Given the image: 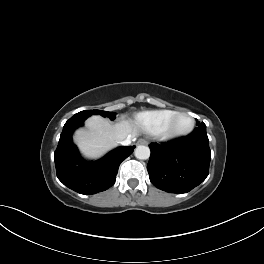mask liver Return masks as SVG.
Masks as SVG:
<instances>
[{"mask_svg": "<svg viewBox=\"0 0 264 264\" xmlns=\"http://www.w3.org/2000/svg\"><path fill=\"white\" fill-rule=\"evenodd\" d=\"M137 129L126 120L114 125L105 118L95 115L86 120V129H78L74 141L81 153L88 158H98L122 140L137 135Z\"/></svg>", "mask_w": 264, "mask_h": 264, "instance_id": "liver-1", "label": "liver"}]
</instances>
